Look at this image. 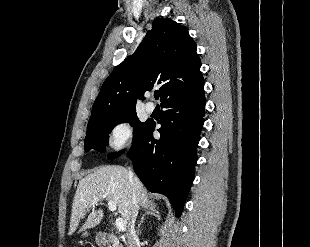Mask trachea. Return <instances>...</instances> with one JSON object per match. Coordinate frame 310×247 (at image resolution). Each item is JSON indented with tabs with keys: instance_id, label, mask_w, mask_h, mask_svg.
Segmentation results:
<instances>
[{
	"instance_id": "trachea-1",
	"label": "trachea",
	"mask_w": 310,
	"mask_h": 247,
	"mask_svg": "<svg viewBox=\"0 0 310 247\" xmlns=\"http://www.w3.org/2000/svg\"><path fill=\"white\" fill-rule=\"evenodd\" d=\"M159 96H160V93H159V92H155V93H154V97H155V99H158V98H159Z\"/></svg>"
}]
</instances>
